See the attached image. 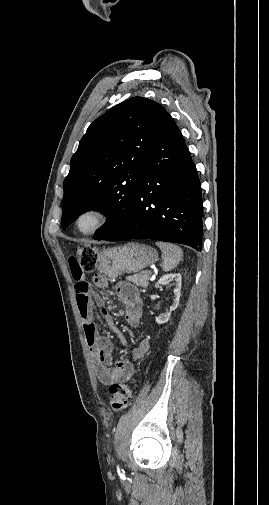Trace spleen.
<instances>
[{
    "label": "spleen",
    "instance_id": "1",
    "mask_svg": "<svg viewBox=\"0 0 269 505\" xmlns=\"http://www.w3.org/2000/svg\"><path fill=\"white\" fill-rule=\"evenodd\" d=\"M156 245L162 252V268L165 272L173 270L180 262L183 256L182 249L172 243L157 241Z\"/></svg>",
    "mask_w": 269,
    "mask_h": 505
}]
</instances>
